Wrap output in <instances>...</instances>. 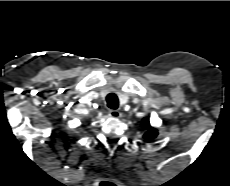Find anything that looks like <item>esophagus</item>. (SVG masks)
<instances>
[{"instance_id":"1","label":"esophagus","mask_w":230,"mask_h":186,"mask_svg":"<svg viewBox=\"0 0 230 186\" xmlns=\"http://www.w3.org/2000/svg\"><path fill=\"white\" fill-rule=\"evenodd\" d=\"M109 116L112 118H120L121 113L118 110H110L109 111Z\"/></svg>"}]
</instances>
